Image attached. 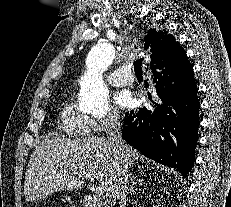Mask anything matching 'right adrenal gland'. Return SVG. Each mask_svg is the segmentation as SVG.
<instances>
[{
    "instance_id": "2a0ac1e0",
    "label": "right adrenal gland",
    "mask_w": 231,
    "mask_h": 207,
    "mask_svg": "<svg viewBox=\"0 0 231 207\" xmlns=\"http://www.w3.org/2000/svg\"><path fill=\"white\" fill-rule=\"evenodd\" d=\"M129 177H130L131 185H130V187L128 189V192L131 194V193L134 192V188H135L137 182H136V176L133 173H129Z\"/></svg>"
}]
</instances>
